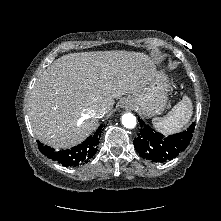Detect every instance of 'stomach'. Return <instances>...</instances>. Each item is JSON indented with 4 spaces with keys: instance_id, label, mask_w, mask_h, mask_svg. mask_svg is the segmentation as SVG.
I'll return each mask as SVG.
<instances>
[{
    "instance_id": "obj_1",
    "label": "stomach",
    "mask_w": 221,
    "mask_h": 221,
    "mask_svg": "<svg viewBox=\"0 0 221 221\" xmlns=\"http://www.w3.org/2000/svg\"><path fill=\"white\" fill-rule=\"evenodd\" d=\"M168 80L163 74H154L150 84L140 93L132 96L138 111L145 117H152L164 111L168 97Z\"/></svg>"
}]
</instances>
